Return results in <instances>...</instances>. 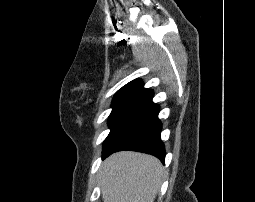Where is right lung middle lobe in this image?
<instances>
[{
  "instance_id": "obj_1",
  "label": "right lung middle lobe",
  "mask_w": 255,
  "mask_h": 202,
  "mask_svg": "<svg viewBox=\"0 0 255 202\" xmlns=\"http://www.w3.org/2000/svg\"><path fill=\"white\" fill-rule=\"evenodd\" d=\"M136 114L133 113H115L110 114L108 124L111 131L103 143V152L107 149L113 138L119 133L123 126Z\"/></svg>"
}]
</instances>
